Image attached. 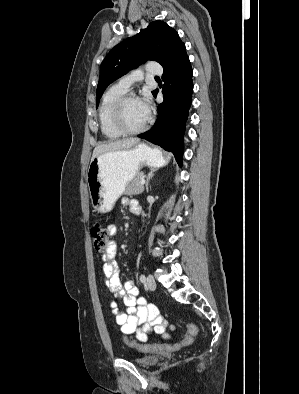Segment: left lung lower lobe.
<instances>
[{"label": "left lung lower lobe", "instance_id": "obj_1", "mask_svg": "<svg viewBox=\"0 0 299 394\" xmlns=\"http://www.w3.org/2000/svg\"><path fill=\"white\" fill-rule=\"evenodd\" d=\"M163 68L164 101L158 106V118L149 131L138 137L172 152L179 166H182L183 135L193 92L192 68L185 46ZM157 93L158 90H155L153 95L156 97Z\"/></svg>", "mask_w": 299, "mask_h": 394}]
</instances>
